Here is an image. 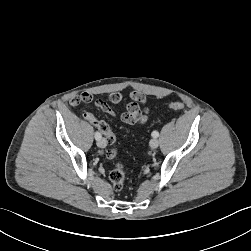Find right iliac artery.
<instances>
[{
  "instance_id": "right-iliac-artery-1",
  "label": "right iliac artery",
  "mask_w": 251,
  "mask_h": 251,
  "mask_svg": "<svg viewBox=\"0 0 251 251\" xmlns=\"http://www.w3.org/2000/svg\"><path fill=\"white\" fill-rule=\"evenodd\" d=\"M101 138V134L99 132L95 133V139L99 140Z\"/></svg>"
}]
</instances>
